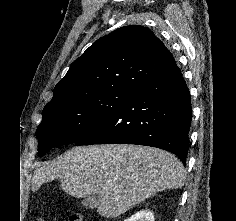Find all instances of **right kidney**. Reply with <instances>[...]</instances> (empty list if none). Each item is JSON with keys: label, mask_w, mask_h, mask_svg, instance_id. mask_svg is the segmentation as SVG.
<instances>
[{"label": "right kidney", "mask_w": 236, "mask_h": 221, "mask_svg": "<svg viewBox=\"0 0 236 221\" xmlns=\"http://www.w3.org/2000/svg\"><path fill=\"white\" fill-rule=\"evenodd\" d=\"M124 221H154V214L149 210H141Z\"/></svg>", "instance_id": "1"}]
</instances>
